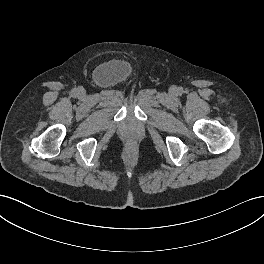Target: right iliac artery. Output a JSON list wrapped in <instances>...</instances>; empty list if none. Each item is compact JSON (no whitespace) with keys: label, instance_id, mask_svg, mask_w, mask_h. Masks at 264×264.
<instances>
[{"label":"right iliac artery","instance_id":"82829eb1","mask_svg":"<svg viewBox=\"0 0 264 264\" xmlns=\"http://www.w3.org/2000/svg\"><path fill=\"white\" fill-rule=\"evenodd\" d=\"M72 93H73V94H76V93H77V89H73V90H72Z\"/></svg>","mask_w":264,"mask_h":264}]
</instances>
